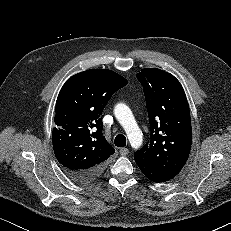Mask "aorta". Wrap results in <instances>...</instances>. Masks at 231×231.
<instances>
[{"instance_id": "aorta-1", "label": "aorta", "mask_w": 231, "mask_h": 231, "mask_svg": "<svg viewBox=\"0 0 231 231\" xmlns=\"http://www.w3.org/2000/svg\"><path fill=\"white\" fill-rule=\"evenodd\" d=\"M114 114L124 128L131 146L134 149H138L142 144L143 134L138 127L130 108L124 103H119L114 108Z\"/></svg>"}]
</instances>
